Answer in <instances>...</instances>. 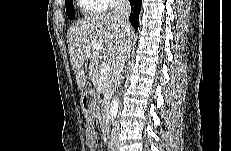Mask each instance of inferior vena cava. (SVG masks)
<instances>
[{
    "mask_svg": "<svg viewBox=\"0 0 231 151\" xmlns=\"http://www.w3.org/2000/svg\"><path fill=\"white\" fill-rule=\"evenodd\" d=\"M131 13V5L128 0H115L114 2V9H113V16L118 21L121 29L128 35H130V32L132 31L131 25L129 23V15ZM132 46V42H129V44L122 50V53L120 55V60L118 62V70L122 71L125 60L127 59V56L130 53ZM119 85V83H118ZM118 134H119V126L117 122L114 123V127L111 132V147H114L118 142Z\"/></svg>",
    "mask_w": 231,
    "mask_h": 151,
    "instance_id": "inferior-vena-cava-1",
    "label": "inferior vena cava"
}]
</instances>
